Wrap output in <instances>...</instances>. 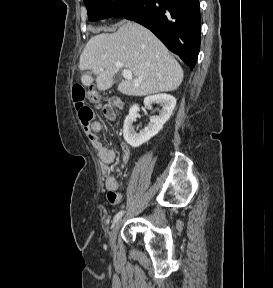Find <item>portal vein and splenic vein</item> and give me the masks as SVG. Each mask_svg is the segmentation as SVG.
Returning a JSON list of instances; mask_svg holds the SVG:
<instances>
[{
	"instance_id": "1",
	"label": "portal vein and splenic vein",
	"mask_w": 273,
	"mask_h": 288,
	"mask_svg": "<svg viewBox=\"0 0 273 288\" xmlns=\"http://www.w3.org/2000/svg\"><path fill=\"white\" fill-rule=\"evenodd\" d=\"M101 71H103V69L101 68ZM122 76L125 78V79H132V72L130 70H127V69H124L122 70Z\"/></svg>"
}]
</instances>
